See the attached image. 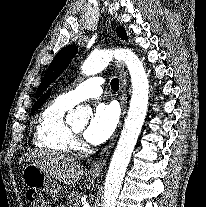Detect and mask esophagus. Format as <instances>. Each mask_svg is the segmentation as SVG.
<instances>
[{"mask_svg": "<svg viewBox=\"0 0 206 207\" xmlns=\"http://www.w3.org/2000/svg\"><path fill=\"white\" fill-rule=\"evenodd\" d=\"M117 69L120 78V88H119V101L121 106V117L118 123V126L112 135L108 144L102 149L99 157L92 163L90 166L88 173L92 176L99 177L101 176L103 169L107 163L108 157L115 145L117 137L119 135L122 122L127 110V78H126V70L122 62L117 63Z\"/></svg>", "mask_w": 206, "mask_h": 207, "instance_id": "esophagus-1", "label": "esophagus"}]
</instances>
